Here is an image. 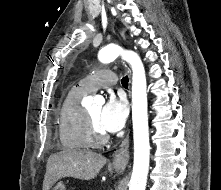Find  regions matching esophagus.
<instances>
[{
    "label": "esophagus",
    "mask_w": 221,
    "mask_h": 190,
    "mask_svg": "<svg viewBox=\"0 0 221 190\" xmlns=\"http://www.w3.org/2000/svg\"><path fill=\"white\" fill-rule=\"evenodd\" d=\"M128 72L130 74V70ZM129 157V136L127 135L115 152L112 161L113 167L118 171H123L128 164Z\"/></svg>",
    "instance_id": "obj_1"
}]
</instances>
